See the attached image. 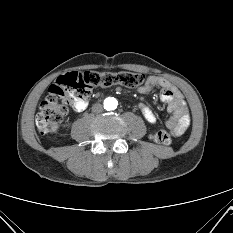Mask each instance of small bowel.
<instances>
[{"mask_svg": "<svg viewBox=\"0 0 233 233\" xmlns=\"http://www.w3.org/2000/svg\"><path fill=\"white\" fill-rule=\"evenodd\" d=\"M155 88H160V99L168 104L170 117L166 121V127L172 135L179 136L183 134L191 124V117L186 102L183 99L181 92L172 85L166 78L151 75L148 77L144 86L139 88L140 93H149ZM88 101L78 102L74 106V110L82 112L88 107ZM139 109L143 117L150 124L157 122L155 113L145 104H139Z\"/></svg>", "mask_w": 233, "mask_h": 233, "instance_id": "c3829d8e", "label": "small bowel"}]
</instances>
